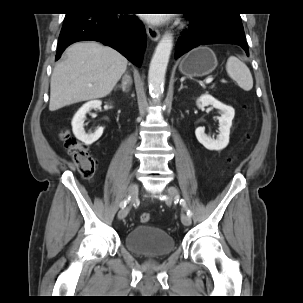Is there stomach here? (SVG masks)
Listing matches in <instances>:
<instances>
[{
    "label": "stomach",
    "instance_id": "stomach-1",
    "mask_svg": "<svg viewBox=\"0 0 303 303\" xmlns=\"http://www.w3.org/2000/svg\"><path fill=\"white\" fill-rule=\"evenodd\" d=\"M217 67V59L214 52L200 46L184 56L180 61L179 71L189 77H202L210 74Z\"/></svg>",
    "mask_w": 303,
    "mask_h": 303
}]
</instances>
